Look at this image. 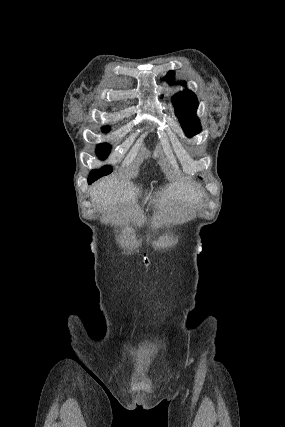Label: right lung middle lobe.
<instances>
[{"label":"right lung middle lobe","mask_w":285,"mask_h":427,"mask_svg":"<svg viewBox=\"0 0 285 427\" xmlns=\"http://www.w3.org/2000/svg\"><path fill=\"white\" fill-rule=\"evenodd\" d=\"M102 130L104 132H108L110 129L108 127H106V128H103ZM110 149H111V146L109 144H107V143L100 144L97 147V154L99 155L100 158L104 159L108 156ZM112 171H113L112 167L105 166V167L98 169V170H96V169L92 170L91 173L89 174V176H93V177L99 176V178H100L102 176L110 174Z\"/></svg>","instance_id":"right-lung-middle-lobe-1"}]
</instances>
